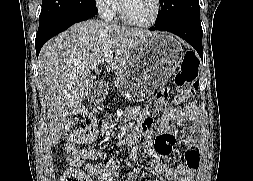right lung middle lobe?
<instances>
[{
    "mask_svg": "<svg viewBox=\"0 0 253 181\" xmlns=\"http://www.w3.org/2000/svg\"><path fill=\"white\" fill-rule=\"evenodd\" d=\"M75 10L97 13L96 2L95 0H42L39 19L43 21Z\"/></svg>",
    "mask_w": 253,
    "mask_h": 181,
    "instance_id": "obj_1",
    "label": "right lung middle lobe"
}]
</instances>
